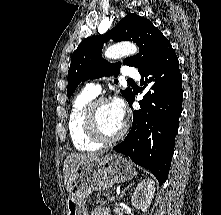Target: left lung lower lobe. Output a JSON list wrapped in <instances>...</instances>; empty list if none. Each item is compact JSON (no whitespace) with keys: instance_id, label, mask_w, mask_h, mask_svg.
Wrapping results in <instances>:
<instances>
[{"instance_id":"obj_1","label":"left lung lower lobe","mask_w":221,"mask_h":215,"mask_svg":"<svg viewBox=\"0 0 221 215\" xmlns=\"http://www.w3.org/2000/svg\"><path fill=\"white\" fill-rule=\"evenodd\" d=\"M140 74L141 90L146 91L141 109L133 112L131 131L113 149L149 169L161 185L171 166L183 101L179 62L171 44ZM134 100L133 94L130 107Z\"/></svg>"}]
</instances>
